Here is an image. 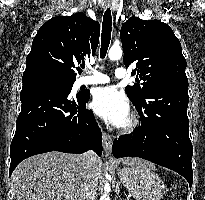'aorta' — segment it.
I'll return each mask as SVG.
<instances>
[{
	"label": "aorta",
	"instance_id": "762f6f07",
	"mask_svg": "<svg viewBox=\"0 0 205 200\" xmlns=\"http://www.w3.org/2000/svg\"><path fill=\"white\" fill-rule=\"evenodd\" d=\"M122 54H123V51H122L121 47L113 45L111 47V49L109 50L108 57L110 60L115 61V60L120 59L122 57ZM105 177H106V179H108L109 175L106 173ZM104 191L105 192L103 195V200H110V197L108 194V192L110 191V186L108 183H106L104 185Z\"/></svg>",
	"mask_w": 205,
	"mask_h": 200
}]
</instances>
